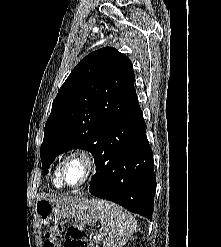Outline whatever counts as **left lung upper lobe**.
<instances>
[{
	"instance_id": "obj_1",
	"label": "left lung upper lobe",
	"mask_w": 221,
	"mask_h": 247,
	"mask_svg": "<svg viewBox=\"0 0 221 247\" xmlns=\"http://www.w3.org/2000/svg\"><path fill=\"white\" fill-rule=\"evenodd\" d=\"M131 61L105 47L83 58L58 91L44 129L40 157L45 174L56 156L70 149L95 155L104 129L140 109Z\"/></svg>"
}]
</instances>
